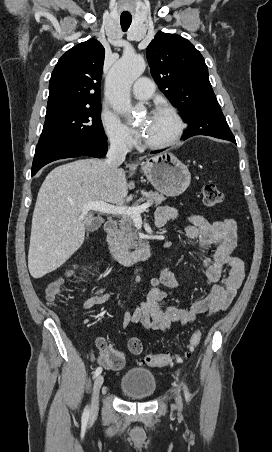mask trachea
<instances>
[{
	"label": "trachea",
	"mask_w": 272,
	"mask_h": 452,
	"mask_svg": "<svg viewBox=\"0 0 272 452\" xmlns=\"http://www.w3.org/2000/svg\"><path fill=\"white\" fill-rule=\"evenodd\" d=\"M132 22V16H123L121 15L120 24L123 31H127Z\"/></svg>",
	"instance_id": "3493384b"
}]
</instances>
